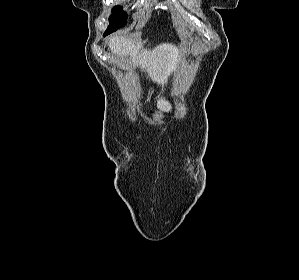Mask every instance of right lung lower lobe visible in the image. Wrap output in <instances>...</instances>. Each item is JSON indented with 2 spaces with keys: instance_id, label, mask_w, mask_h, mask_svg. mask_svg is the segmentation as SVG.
<instances>
[{
  "instance_id": "98d812e1",
  "label": "right lung lower lobe",
  "mask_w": 299,
  "mask_h": 280,
  "mask_svg": "<svg viewBox=\"0 0 299 280\" xmlns=\"http://www.w3.org/2000/svg\"><path fill=\"white\" fill-rule=\"evenodd\" d=\"M110 33H112V32L109 31V30H106L105 33H104V36H106V35H108V34H110Z\"/></svg>"
}]
</instances>
